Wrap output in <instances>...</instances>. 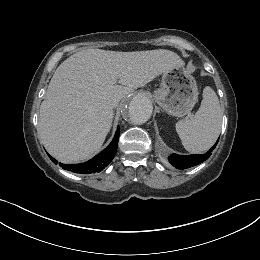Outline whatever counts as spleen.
Returning <instances> with one entry per match:
<instances>
[{
  "label": "spleen",
  "instance_id": "1",
  "mask_svg": "<svg viewBox=\"0 0 260 260\" xmlns=\"http://www.w3.org/2000/svg\"><path fill=\"white\" fill-rule=\"evenodd\" d=\"M223 112L219 99L211 87L203 90V100L190 120L176 123V131L184 148L190 153H203L217 140L222 123Z\"/></svg>",
  "mask_w": 260,
  "mask_h": 260
}]
</instances>
